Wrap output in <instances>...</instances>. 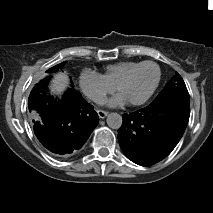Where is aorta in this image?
Masks as SVG:
<instances>
[{"label": "aorta", "mask_w": 213, "mask_h": 213, "mask_svg": "<svg viewBox=\"0 0 213 213\" xmlns=\"http://www.w3.org/2000/svg\"><path fill=\"white\" fill-rule=\"evenodd\" d=\"M107 125L111 129H119L122 126V116L116 112L109 113L106 118Z\"/></svg>", "instance_id": "obj_1"}]
</instances>
